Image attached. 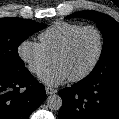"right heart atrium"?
<instances>
[{
    "instance_id": "obj_1",
    "label": "right heart atrium",
    "mask_w": 119,
    "mask_h": 119,
    "mask_svg": "<svg viewBox=\"0 0 119 119\" xmlns=\"http://www.w3.org/2000/svg\"><path fill=\"white\" fill-rule=\"evenodd\" d=\"M19 57L27 65L30 72L40 74L53 61L45 52L40 43L27 39L20 43L18 47Z\"/></svg>"
}]
</instances>
